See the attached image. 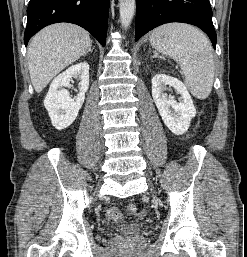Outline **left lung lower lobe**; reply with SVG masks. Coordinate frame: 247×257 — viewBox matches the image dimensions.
Segmentation results:
<instances>
[{"mask_svg": "<svg viewBox=\"0 0 247 257\" xmlns=\"http://www.w3.org/2000/svg\"><path fill=\"white\" fill-rule=\"evenodd\" d=\"M182 22L202 29L216 48L209 0H137L135 41L155 27Z\"/></svg>", "mask_w": 247, "mask_h": 257, "instance_id": "0a47b994", "label": "left lung lower lobe"}]
</instances>
